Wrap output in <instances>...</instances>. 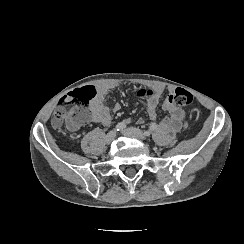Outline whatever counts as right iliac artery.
Segmentation results:
<instances>
[{
	"mask_svg": "<svg viewBox=\"0 0 244 244\" xmlns=\"http://www.w3.org/2000/svg\"><path fill=\"white\" fill-rule=\"evenodd\" d=\"M125 128H126V124L124 122H120L115 126L116 131H122Z\"/></svg>",
	"mask_w": 244,
	"mask_h": 244,
	"instance_id": "right-iliac-artery-1",
	"label": "right iliac artery"
}]
</instances>
